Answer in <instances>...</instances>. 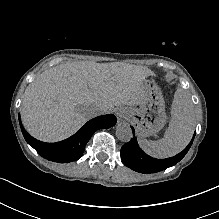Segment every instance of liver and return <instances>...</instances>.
<instances>
[{
    "label": "liver",
    "instance_id": "obj_1",
    "mask_svg": "<svg viewBox=\"0 0 219 219\" xmlns=\"http://www.w3.org/2000/svg\"><path fill=\"white\" fill-rule=\"evenodd\" d=\"M153 72L127 63L70 62L39 74L25 89L21 122L33 138L57 143L94 118L90 106L113 113L143 96V80Z\"/></svg>",
    "mask_w": 219,
    "mask_h": 219
}]
</instances>
